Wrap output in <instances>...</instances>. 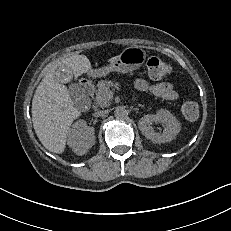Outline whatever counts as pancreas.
Listing matches in <instances>:
<instances>
[{
    "label": "pancreas",
    "instance_id": "pancreas-1",
    "mask_svg": "<svg viewBox=\"0 0 231 231\" xmlns=\"http://www.w3.org/2000/svg\"><path fill=\"white\" fill-rule=\"evenodd\" d=\"M120 85L118 82L111 80H101L97 84V90L95 91V104L100 107H108L111 104L112 96L110 94V88H118Z\"/></svg>",
    "mask_w": 231,
    "mask_h": 231
}]
</instances>
